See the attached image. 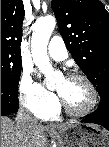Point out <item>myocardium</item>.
<instances>
[{"label": "myocardium", "mask_w": 109, "mask_h": 147, "mask_svg": "<svg viewBox=\"0 0 109 147\" xmlns=\"http://www.w3.org/2000/svg\"><path fill=\"white\" fill-rule=\"evenodd\" d=\"M66 78L70 80L79 79V80L84 81L91 90L92 102L90 106L84 110H74L69 106L65 98L58 93L59 108L64 110L67 114L72 115V116H77V117L86 116L90 114L91 112H93L98 104L99 95L92 81L86 75L81 74V73H71Z\"/></svg>", "instance_id": "1"}]
</instances>
